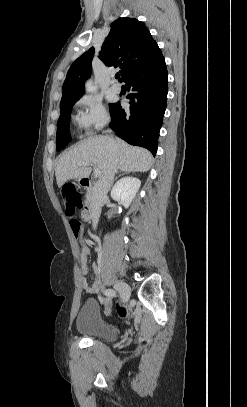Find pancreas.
<instances>
[{"mask_svg": "<svg viewBox=\"0 0 247 407\" xmlns=\"http://www.w3.org/2000/svg\"><path fill=\"white\" fill-rule=\"evenodd\" d=\"M92 198H93V192L91 190H88L87 194H86L87 202H90L92 200Z\"/></svg>", "mask_w": 247, "mask_h": 407, "instance_id": "cf45deb5", "label": "pancreas"}]
</instances>
